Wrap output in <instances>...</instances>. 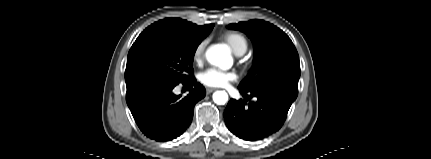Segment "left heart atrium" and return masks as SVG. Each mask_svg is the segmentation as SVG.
Masks as SVG:
<instances>
[{"instance_id": "1", "label": "left heart atrium", "mask_w": 431, "mask_h": 159, "mask_svg": "<svg viewBox=\"0 0 431 159\" xmlns=\"http://www.w3.org/2000/svg\"><path fill=\"white\" fill-rule=\"evenodd\" d=\"M236 79L235 72L222 71L216 68H209L200 74V81L208 87H224Z\"/></svg>"}]
</instances>
